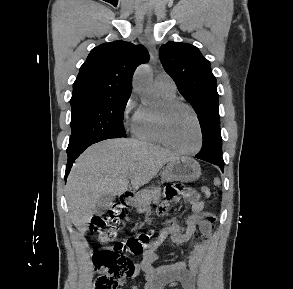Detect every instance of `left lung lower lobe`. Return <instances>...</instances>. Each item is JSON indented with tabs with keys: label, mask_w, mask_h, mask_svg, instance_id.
Here are the masks:
<instances>
[{
	"label": "left lung lower lobe",
	"mask_w": 293,
	"mask_h": 289,
	"mask_svg": "<svg viewBox=\"0 0 293 289\" xmlns=\"http://www.w3.org/2000/svg\"><path fill=\"white\" fill-rule=\"evenodd\" d=\"M203 145L201 151L196 155V158L210 162L220 167L223 171L224 161L223 158L216 161L212 157L216 153L222 151V138L220 127H211L202 131Z\"/></svg>",
	"instance_id": "left-lung-lower-lobe-1"
}]
</instances>
